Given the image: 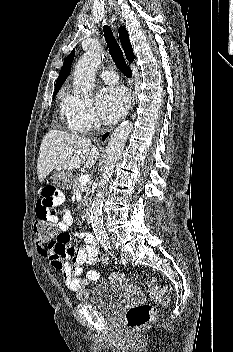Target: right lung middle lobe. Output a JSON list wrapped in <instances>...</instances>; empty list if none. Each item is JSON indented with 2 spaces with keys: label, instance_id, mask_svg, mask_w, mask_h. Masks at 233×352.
<instances>
[{
  "label": "right lung middle lobe",
  "instance_id": "obj_1",
  "mask_svg": "<svg viewBox=\"0 0 233 352\" xmlns=\"http://www.w3.org/2000/svg\"><path fill=\"white\" fill-rule=\"evenodd\" d=\"M58 91H55L54 93H53V98L56 96V93H57Z\"/></svg>",
  "mask_w": 233,
  "mask_h": 352
}]
</instances>
